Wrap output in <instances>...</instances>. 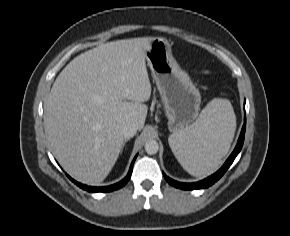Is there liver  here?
Masks as SVG:
<instances>
[{
  "mask_svg": "<svg viewBox=\"0 0 290 236\" xmlns=\"http://www.w3.org/2000/svg\"><path fill=\"white\" fill-rule=\"evenodd\" d=\"M153 37L102 44L75 57L45 103L49 145L74 179L99 185L124 143L121 127H144L151 96L145 54Z\"/></svg>",
  "mask_w": 290,
  "mask_h": 236,
  "instance_id": "obj_1",
  "label": "liver"
}]
</instances>
